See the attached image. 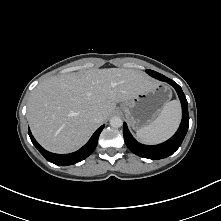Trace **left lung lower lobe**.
<instances>
[{"instance_id":"1","label":"left lung lower lobe","mask_w":221,"mask_h":221,"mask_svg":"<svg viewBox=\"0 0 221 221\" xmlns=\"http://www.w3.org/2000/svg\"><path fill=\"white\" fill-rule=\"evenodd\" d=\"M160 80L172 85L176 89L181 101L182 121L177 132L169 140L162 144L148 146L138 143L129 132L126 123L123 124L124 140L130 151L140 157L153 160L163 159L172 155L181 146L189 127L188 103L181 87L176 82L165 76L161 77Z\"/></svg>"}]
</instances>
